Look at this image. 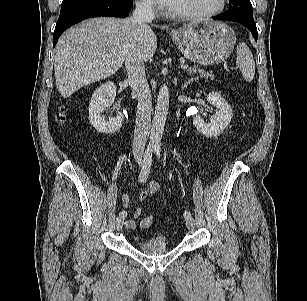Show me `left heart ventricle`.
I'll use <instances>...</instances> for the list:
<instances>
[{
  "label": "left heart ventricle",
  "mask_w": 307,
  "mask_h": 301,
  "mask_svg": "<svg viewBox=\"0 0 307 301\" xmlns=\"http://www.w3.org/2000/svg\"><path fill=\"white\" fill-rule=\"evenodd\" d=\"M220 0H174L170 7L173 12L198 13L216 8Z\"/></svg>",
  "instance_id": "b2bd125f"
}]
</instances>
